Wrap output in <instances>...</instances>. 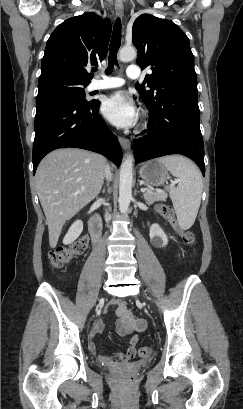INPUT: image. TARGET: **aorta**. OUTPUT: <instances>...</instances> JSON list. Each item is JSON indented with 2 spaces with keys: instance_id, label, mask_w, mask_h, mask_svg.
Returning a JSON list of instances; mask_svg holds the SVG:
<instances>
[{
  "instance_id": "762f6f07",
  "label": "aorta",
  "mask_w": 243,
  "mask_h": 409,
  "mask_svg": "<svg viewBox=\"0 0 243 409\" xmlns=\"http://www.w3.org/2000/svg\"><path fill=\"white\" fill-rule=\"evenodd\" d=\"M137 52L134 47L125 46L119 52V59L123 62L132 61L136 58ZM133 156L127 155L120 166L119 173V210L126 213L132 199L133 182Z\"/></svg>"
}]
</instances>
